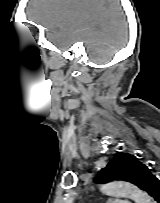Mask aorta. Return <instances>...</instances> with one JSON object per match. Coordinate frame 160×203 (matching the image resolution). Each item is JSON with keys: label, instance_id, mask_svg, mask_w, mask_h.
I'll return each instance as SVG.
<instances>
[{"label": "aorta", "instance_id": "1", "mask_svg": "<svg viewBox=\"0 0 160 203\" xmlns=\"http://www.w3.org/2000/svg\"><path fill=\"white\" fill-rule=\"evenodd\" d=\"M102 191L107 195L130 198L135 203H153L151 197L146 192L128 182H109L102 187Z\"/></svg>", "mask_w": 160, "mask_h": 203}]
</instances>
